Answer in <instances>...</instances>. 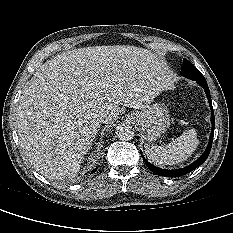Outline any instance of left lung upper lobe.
<instances>
[{
  "instance_id": "1",
  "label": "left lung upper lobe",
  "mask_w": 233,
  "mask_h": 233,
  "mask_svg": "<svg viewBox=\"0 0 233 233\" xmlns=\"http://www.w3.org/2000/svg\"><path fill=\"white\" fill-rule=\"evenodd\" d=\"M181 75L193 81L205 80L204 76L200 73V71L191 62H189L186 59H183Z\"/></svg>"
}]
</instances>
